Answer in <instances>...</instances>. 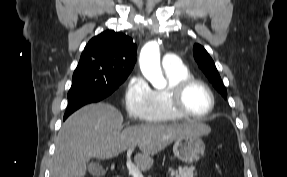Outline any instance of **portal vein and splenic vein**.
Returning <instances> with one entry per match:
<instances>
[{
  "mask_svg": "<svg viewBox=\"0 0 287 177\" xmlns=\"http://www.w3.org/2000/svg\"><path fill=\"white\" fill-rule=\"evenodd\" d=\"M133 150H134V148H129L127 150L126 166H127L128 171H129V174L132 177H144L142 175V173L140 172L139 168L137 166H135L130 159V156H131Z\"/></svg>",
  "mask_w": 287,
  "mask_h": 177,
  "instance_id": "obj_1",
  "label": "portal vein and splenic vein"
}]
</instances>
